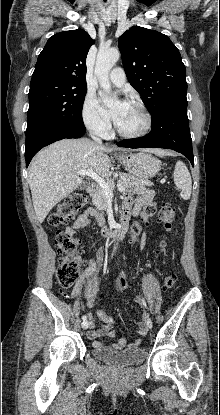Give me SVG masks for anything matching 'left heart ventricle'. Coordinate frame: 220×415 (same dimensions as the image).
<instances>
[{
  "instance_id": "left-heart-ventricle-1",
  "label": "left heart ventricle",
  "mask_w": 220,
  "mask_h": 415,
  "mask_svg": "<svg viewBox=\"0 0 220 415\" xmlns=\"http://www.w3.org/2000/svg\"><path fill=\"white\" fill-rule=\"evenodd\" d=\"M116 125L125 132H137L145 126V117L140 109L127 103L125 112Z\"/></svg>"
}]
</instances>
